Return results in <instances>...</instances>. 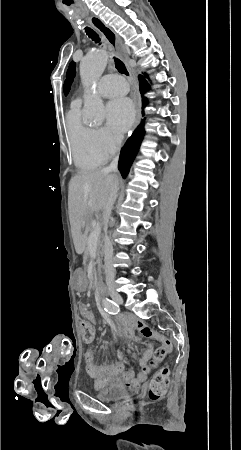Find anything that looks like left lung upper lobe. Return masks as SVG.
<instances>
[{
  "label": "left lung upper lobe",
  "instance_id": "left-lung-upper-lobe-1",
  "mask_svg": "<svg viewBox=\"0 0 241 450\" xmlns=\"http://www.w3.org/2000/svg\"><path fill=\"white\" fill-rule=\"evenodd\" d=\"M75 66H76L75 62L72 61L70 63V65H69V69L67 70L66 80H65L64 86H63V90H64V94L65 95L68 94V92L70 90V86H71V84L73 82V78H74L75 73H76Z\"/></svg>",
  "mask_w": 241,
  "mask_h": 450
}]
</instances>
